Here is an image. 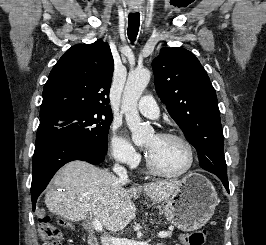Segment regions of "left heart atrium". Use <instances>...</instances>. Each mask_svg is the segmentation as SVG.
Here are the masks:
<instances>
[{
	"instance_id": "left-heart-atrium-1",
	"label": "left heart atrium",
	"mask_w": 266,
	"mask_h": 245,
	"mask_svg": "<svg viewBox=\"0 0 266 245\" xmlns=\"http://www.w3.org/2000/svg\"><path fill=\"white\" fill-rule=\"evenodd\" d=\"M146 152H147L148 155H149V153H150V147H146Z\"/></svg>"
}]
</instances>
